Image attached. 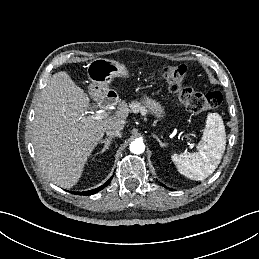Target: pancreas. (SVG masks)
Here are the masks:
<instances>
[{"instance_id": "1", "label": "pancreas", "mask_w": 259, "mask_h": 259, "mask_svg": "<svg viewBox=\"0 0 259 259\" xmlns=\"http://www.w3.org/2000/svg\"><path fill=\"white\" fill-rule=\"evenodd\" d=\"M130 108L134 113L140 112L141 114H146L148 112V110L138 102L131 103Z\"/></svg>"}]
</instances>
